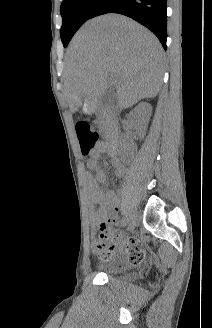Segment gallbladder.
I'll use <instances>...</instances> for the list:
<instances>
[{"instance_id": "gallbladder-1", "label": "gallbladder", "mask_w": 212, "mask_h": 328, "mask_svg": "<svg viewBox=\"0 0 212 328\" xmlns=\"http://www.w3.org/2000/svg\"><path fill=\"white\" fill-rule=\"evenodd\" d=\"M113 99H114L113 91L107 90L104 94H102L98 98V104L99 106L105 107L109 105Z\"/></svg>"}]
</instances>
